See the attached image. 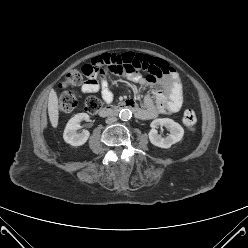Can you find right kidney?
Instances as JSON below:
<instances>
[{
  "label": "right kidney",
  "instance_id": "obj_1",
  "mask_svg": "<svg viewBox=\"0 0 248 248\" xmlns=\"http://www.w3.org/2000/svg\"><path fill=\"white\" fill-rule=\"evenodd\" d=\"M90 117L87 113H78L74 115L67 123L63 138L65 142L72 146H81L86 143L90 133L88 130H83L82 133L78 134L77 130L80 129L81 121H89Z\"/></svg>",
  "mask_w": 248,
  "mask_h": 248
}]
</instances>
